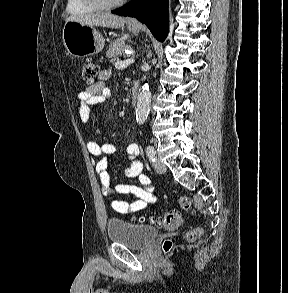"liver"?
Segmentation results:
<instances>
[{
	"mask_svg": "<svg viewBox=\"0 0 288 293\" xmlns=\"http://www.w3.org/2000/svg\"><path fill=\"white\" fill-rule=\"evenodd\" d=\"M68 21H77L92 27L98 26L115 29L122 27L126 22L123 17L108 12L72 14L66 18V22Z\"/></svg>",
	"mask_w": 288,
	"mask_h": 293,
	"instance_id": "obj_1",
	"label": "liver"
}]
</instances>
